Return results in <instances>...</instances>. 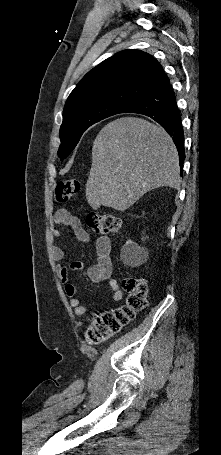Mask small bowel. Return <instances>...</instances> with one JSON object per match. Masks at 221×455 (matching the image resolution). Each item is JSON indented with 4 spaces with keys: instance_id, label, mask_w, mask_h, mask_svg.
<instances>
[{
    "instance_id": "c3829d8e",
    "label": "small bowel",
    "mask_w": 221,
    "mask_h": 455,
    "mask_svg": "<svg viewBox=\"0 0 221 455\" xmlns=\"http://www.w3.org/2000/svg\"><path fill=\"white\" fill-rule=\"evenodd\" d=\"M55 224L58 227H67L72 229L77 238L81 242H88L90 236L85 228L82 226L81 221L77 216L61 209L57 212L54 218ZM52 235L55 238H61V232L57 227L52 229ZM97 262L95 265L89 267L85 274L93 283L106 282L112 290V301L118 302L122 299L123 293L120 290L118 282L111 277L112 273V260L110 257L111 242L109 238L101 236L95 242ZM52 256L55 260L60 261L65 258V252L59 246L52 247ZM84 271V265L81 262H72L69 265L60 267V279L65 286V292L69 297V303L72 306L74 313L78 316L84 315L88 312V307L82 304L81 299L77 296V288L74 284L68 282L70 272Z\"/></svg>"
}]
</instances>
